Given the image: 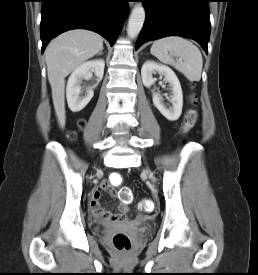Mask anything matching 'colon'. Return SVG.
<instances>
[{
  "label": "colon",
  "instance_id": "obj_1",
  "mask_svg": "<svg viewBox=\"0 0 258 275\" xmlns=\"http://www.w3.org/2000/svg\"><path fill=\"white\" fill-rule=\"evenodd\" d=\"M189 103L191 104L192 108H190L185 115V130H188L189 128H191L195 124L197 119V114L194 109V107L197 104V98L195 95L189 96ZM84 124H85L84 120L78 121L79 128H82ZM69 137L73 139L75 137V132L74 131L70 132ZM122 181H123V178L119 174H114L111 177L112 185L118 186L122 183ZM119 198L127 203L130 202L132 199L131 191L128 188H122L119 192ZM152 207H153V204L151 200L148 198L142 199L139 204V209L141 212H149L151 211ZM112 241L115 248L121 251L129 250L132 245L130 237L124 233L115 234L113 236Z\"/></svg>",
  "mask_w": 258,
  "mask_h": 275
}]
</instances>
